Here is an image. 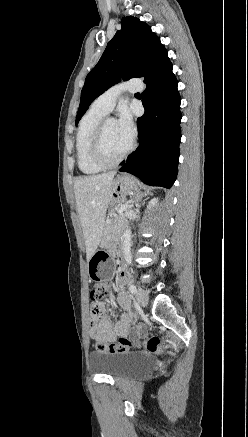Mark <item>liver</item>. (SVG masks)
<instances>
[{
  "label": "liver",
  "mask_w": 248,
  "mask_h": 437,
  "mask_svg": "<svg viewBox=\"0 0 248 437\" xmlns=\"http://www.w3.org/2000/svg\"><path fill=\"white\" fill-rule=\"evenodd\" d=\"M116 172L83 176L74 183L77 212L81 222L86 257L89 261L96 252L103 234L106 211L114 189Z\"/></svg>",
  "instance_id": "1"
}]
</instances>
